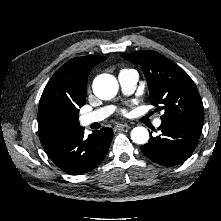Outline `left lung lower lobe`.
<instances>
[{"instance_id": "0a47b994", "label": "left lung lower lobe", "mask_w": 221, "mask_h": 221, "mask_svg": "<svg viewBox=\"0 0 221 221\" xmlns=\"http://www.w3.org/2000/svg\"><path fill=\"white\" fill-rule=\"evenodd\" d=\"M203 124L189 121H162L161 134L141 146V150L153 162L173 166L190 157L199 140Z\"/></svg>"}]
</instances>
